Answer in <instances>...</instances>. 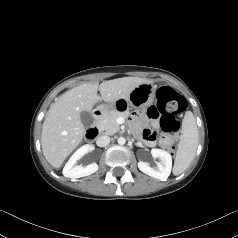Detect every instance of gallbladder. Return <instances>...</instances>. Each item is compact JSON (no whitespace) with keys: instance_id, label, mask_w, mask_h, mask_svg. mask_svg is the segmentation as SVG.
I'll list each match as a JSON object with an SVG mask.
<instances>
[{"instance_id":"gallbladder-1","label":"gallbladder","mask_w":238,"mask_h":238,"mask_svg":"<svg viewBox=\"0 0 238 238\" xmlns=\"http://www.w3.org/2000/svg\"><path fill=\"white\" fill-rule=\"evenodd\" d=\"M81 122L85 127H89L93 123V116L90 112L83 111L80 115Z\"/></svg>"}]
</instances>
